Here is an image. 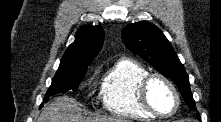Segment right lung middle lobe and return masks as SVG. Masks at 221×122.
Instances as JSON below:
<instances>
[{"instance_id": "dd1d6c3e", "label": "right lung middle lobe", "mask_w": 221, "mask_h": 122, "mask_svg": "<svg viewBox=\"0 0 221 122\" xmlns=\"http://www.w3.org/2000/svg\"><path fill=\"white\" fill-rule=\"evenodd\" d=\"M87 68L79 70H58L52 79L50 88L48 89L44 102L49 99L50 96L63 93L69 90L76 91L81 83ZM43 105L40 106V108Z\"/></svg>"}]
</instances>
